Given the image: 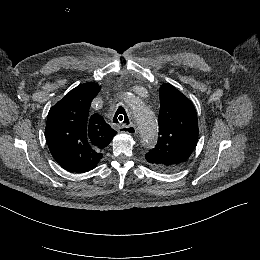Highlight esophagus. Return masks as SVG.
Instances as JSON below:
<instances>
[{"instance_id": "1", "label": "esophagus", "mask_w": 260, "mask_h": 260, "mask_svg": "<svg viewBox=\"0 0 260 260\" xmlns=\"http://www.w3.org/2000/svg\"><path fill=\"white\" fill-rule=\"evenodd\" d=\"M118 130L122 133H126V134H129V135H135L136 132H137L136 127L132 124L119 126Z\"/></svg>"}]
</instances>
